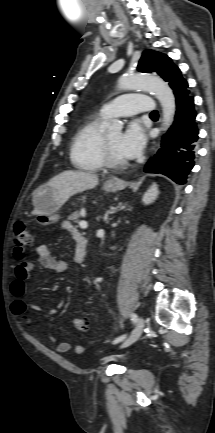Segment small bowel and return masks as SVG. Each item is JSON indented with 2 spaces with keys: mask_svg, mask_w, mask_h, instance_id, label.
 Segmentation results:
<instances>
[{
  "mask_svg": "<svg viewBox=\"0 0 215 433\" xmlns=\"http://www.w3.org/2000/svg\"><path fill=\"white\" fill-rule=\"evenodd\" d=\"M62 227L67 230L72 238L75 241V255L74 261L76 263L79 262L80 258V247L85 240L83 235L70 223L64 222ZM36 255L40 261V263L47 268L52 269L56 273L62 274L68 270V263L64 260L56 259L49 246L47 245H39L35 249ZM16 257L17 251L15 252ZM22 258V257H21ZM33 269V263L21 259L15 266L14 269V278L10 283V293L14 298V302L12 304L13 313L22 318L26 323H31V319L28 315L29 310H37L38 307L34 304L27 302L24 298L26 293V282L30 277L31 271ZM54 314V311L51 312ZM51 341L56 343V350L60 353H66L71 349V344L67 341L58 342L57 337L55 335L51 336ZM75 351L77 353H81L84 351V346L78 344L75 346Z\"/></svg>",
  "mask_w": 215,
  "mask_h": 433,
  "instance_id": "1",
  "label": "small bowel"
}]
</instances>
